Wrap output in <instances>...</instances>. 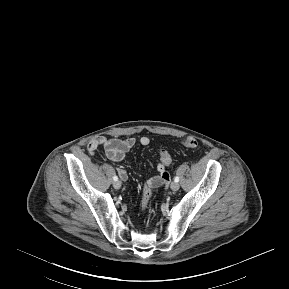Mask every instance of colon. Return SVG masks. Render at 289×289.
Segmentation results:
<instances>
[{
    "label": "colon",
    "mask_w": 289,
    "mask_h": 289,
    "mask_svg": "<svg viewBox=\"0 0 289 289\" xmlns=\"http://www.w3.org/2000/svg\"><path fill=\"white\" fill-rule=\"evenodd\" d=\"M182 145L186 148H194L197 146V141L195 138L191 136H187L182 139ZM159 163L170 165L171 164V156L166 150H161L159 156ZM152 200V192L151 189L144 187L142 193V206L144 209H147Z\"/></svg>",
    "instance_id": "colon-1"
}]
</instances>
